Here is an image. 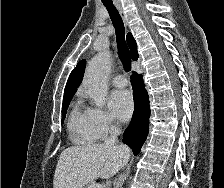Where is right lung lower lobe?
Listing matches in <instances>:
<instances>
[{
	"label": "right lung lower lobe",
	"instance_id": "98d812e1",
	"mask_svg": "<svg viewBox=\"0 0 224 188\" xmlns=\"http://www.w3.org/2000/svg\"><path fill=\"white\" fill-rule=\"evenodd\" d=\"M131 84L133 87L134 113L124 133L123 143L132 149L134 155H137L148 134L150 107L142 75L133 72Z\"/></svg>",
	"mask_w": 224,
	"mask_h": 188
}]
</instances>
